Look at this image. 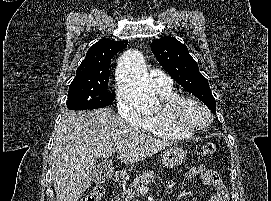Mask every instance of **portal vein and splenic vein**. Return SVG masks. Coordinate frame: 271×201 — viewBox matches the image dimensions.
Returning <instances> with one entry per match:
<instances>
[{
  "label": "portal vein and splenic vein",
  "instance_id": "portal-vein-and-splenic-vein-1",
  "mask_svg": "<svg viewBox=\"0 0 271 201\" xmlns=\"http://www.w3.org/2000/svg\"><path fill=\"white\" fill-rule=\"evenodd\" d=\"M118 149H121V147H118ZM139 189H140V191H142V190H147V187H146L145 185H141V186L139 187Z\"/></svg>",
  "mask_w": 271,
  "mask_h": 201
}]
</instances>
